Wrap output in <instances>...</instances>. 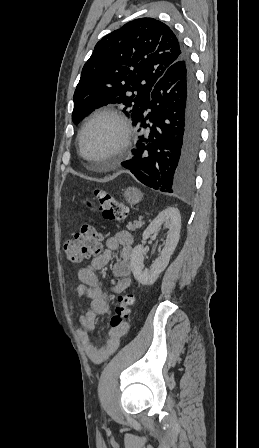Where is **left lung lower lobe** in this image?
Listing matches in <instances>:
<instances>
[{"instance_id": "1", "label": "left lung lower lobe", "mask_w": 259, "mask_h": 448, "mask_svg": "<svg viewBox=\"0 0 259 448\" xmlns=\"http://www.w3.org/2000/svg\"><path fill=\"white\" fill-rule=\"evenodd\" d=\"M131 118L145 135L139 136L134 157L121 165L161 192L191 187L200 143V109L194 69L184 49L154 85L148 105Z\"/></svg>"}]
</instances>
